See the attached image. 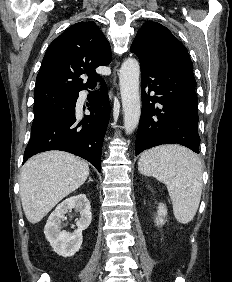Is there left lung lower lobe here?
<instances>
[{
	"label": "left lung lower lobe",
	"instance_id": "0a47b994",
	"mask_svg": "<svg viewBox=\"0 0 232 282\" xmlns=\"http://www.w3.org/2000/svg\"><path fill=\"white\" fill-rule=\"evenodd\" d=\"M140 67L142 111L136 155L162 144H180L199 153L198 98L193 70L183 66Z\"/></svg>",
	"mask_w": 232,
	"mask_h": 282
}]
</instances>
